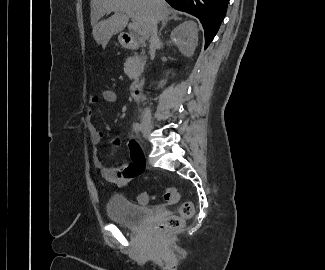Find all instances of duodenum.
<instances>
[{"label": "duodenum", "instance_id": "duodenum-1", "mask_svg": "<svg viewBox=\"0 0 325 270\" xmlns=\"http://www.w3.org/2000/svg\"><path fill=\"white\" fill-rule=\"evenodd\" d=\"M122 41L127 49L135 50L139 46V42L133 34L123 32ZM143 89L140 83H135L132 87V96L135 101L140 102L142 100Z\"/></svg>", "mask_w": 325, "mask_h": 270}]
</instances>
